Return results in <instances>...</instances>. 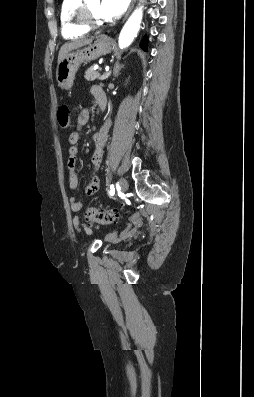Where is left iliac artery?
I'll return each mask as SVG.
<instances>
[{
	"label": "left iliac artery",
	"instance_id": "left-iliac-artery-1",
	"mask_svg": "<svg viewBox=\"0 0 254 397\" xmlns=\"http://www.w3.org/2000/svg\"><path fill=\"white\" fill-rule=\"evenodd\" d=\"M114 193H115L114 186H113V185H111V187H110V191H109V194H110L111 196H113V195H114Z\"/></svg>",
	"mask_w": 254,
	"mask_h": 397
}]
</instances>
